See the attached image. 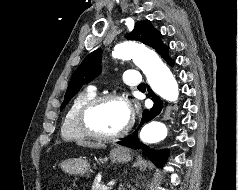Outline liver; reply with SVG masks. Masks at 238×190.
<instances>
[{
    "instance_id": "liver-1",
    "label": "liver",
    "mask_w": 238,
    "mask_h": 190,
    "mask_svg": "<svg viewBox=\"0 0 238 190\" xmlns=\"http://www.w3.org/2000/svg\"><path fill=\"white\" fill-rule=\"evenodd\" d=\"M80 145L85 146V147H90V148H105L104 145H100V144H94V143H80Z\"/></svg>"
}]
</instances>
